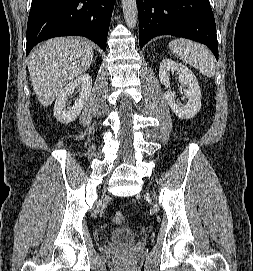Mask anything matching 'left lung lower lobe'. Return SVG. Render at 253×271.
<instances>
[{"label":"left lung lower lobe","instance_id":"left-lung-lower-lobe-1","mask_svg":"<svg viewBox=\"0 0 253 271\" xmlns=\"http://www.w3.org/2000/svg\"><path fill=\"white\" fill-rule=\"evenodd\" d=\"M139 44L173 35L205 44L218 60L215 19L209 0H136Z\"/></svg>","mask_w":253,"mask_h":271}]
</instances>
